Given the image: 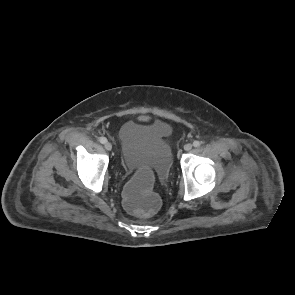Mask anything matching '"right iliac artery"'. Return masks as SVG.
I'll return each instance as SVG.
<instances>
[{
    "label": "right iliac artery",
    "instance_id": "82829eb1",
    "mask_svg": "<svg viewBox=\"0 0 295 295\" xmlns=\"http://www.w3.org/2000/svg\"><path fill=\"white\" fill-rule=\"evenodd\" d=\"M100 143L105 144L107 142V139L105 137L99 138Z\"/></svg>",
    "mask_w": 295,
    "mask_h": 295
}]
</instances>
